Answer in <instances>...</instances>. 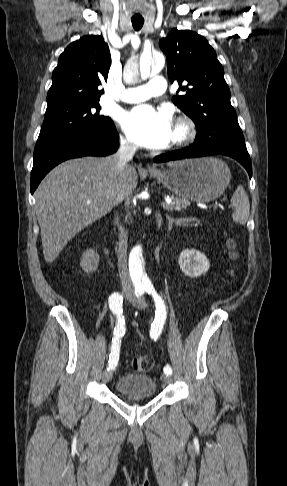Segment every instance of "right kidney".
<instances>
[{
	"label": "right kidney",
	"mask_w": 287,
	"mask_h": 486,
	"mask_svg": "<svg viewBox=\"0 0 287 486\" xmlns=\"http://www.w3.org/2000/svg\"><path fill=\"white\" fill-rule=\"evenodd\" d=\"M99 255L93 249L86 250L81 258L80 267L86 273H92L96 271L99 265Z\"/></svg>",
	"instance_id": "ca27d5eb"
}]
</instances>
